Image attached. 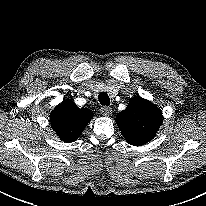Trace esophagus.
Listing matches in <instances>:
<instances>
[{"label": "esophagus", "instance_id": "1", "mask_svg": "<svg viewBox=\"0 0 206 206\" xmlns=\"http://www.w3.org/2000/svg\"><path fill=\"white\" fill-rule=\"evenodd\" d=\"M100 112L103 116H110L112 114V109L107 106H103L100 109Z\"/></svg>", "mask_w": 206, "mask_h": 206}]
</instances>
